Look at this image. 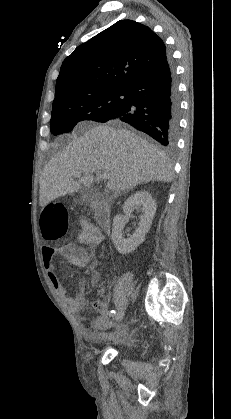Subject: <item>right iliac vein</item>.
<instances>
[{"mask_svg":"<svg viewBox=\"0 0 231 419\" xmlns=\"http://www.w3.org/2000/svg\"><path fill=\"white\" fill-rule=\"evenodd\" d=\"M124 315H125V312L123 310L116 313L114 318H113L114 322L115 323L120 322L123 319Z\"/></svg>","mask_w":231,"mask_h":419,"instance_id":"63e3f726","label":"right iliac vein"}]
</instances>
